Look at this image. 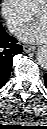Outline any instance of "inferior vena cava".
Instances as JSON below:
<instances>
[{"label":"inferior vena cava","instance_id":"602c4592","mask_svg":"<svg viewBox=\"0 0 47 129\" xmlns=\"http://www.w3.org/2000/svg\"><path fill=\"white\" fill-rule=\"evenodd\" d=\"M7 28L11 33H15L18 31V29L20 28L18 24L13 23V22H8L7 24Z\"/></svg>","mask_w":47,"mask_h":129}]
</instances>
